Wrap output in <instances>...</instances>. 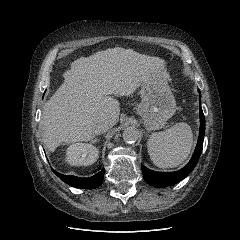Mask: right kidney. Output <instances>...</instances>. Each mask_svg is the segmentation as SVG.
Wrapping results in <instances>:
<instances>
[{"instance_id": "right-kidney-1", "label": "right kidney", "mask_w": 240, "mask_h": 240, "mask_svg": "<svg viewBox=\"0 0 240 240\" xmlns=\"http://www.w3.org/2000/svg\"><path fill=\"white\" fill-rule=\"evenodd\" d=\"M99 151L92 144L75 143L67 148V162L72 166H89L98 159Z\"/></svg>"}]
</instances>
